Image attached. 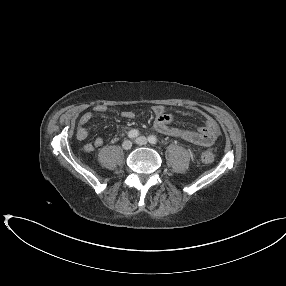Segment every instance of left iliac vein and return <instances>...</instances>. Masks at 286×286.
Instances as JSON below:
<instances>
[{"instance_id":"left-iliac-vein-1","label":"left iliac vein","mask_w":286,"mask_h":286,"mask_svg":"<svg viewBox=\"0 0 286 286\" xmlns=\"http://www.w3.org/2000/svg\"><path fill=\"white\" fill-rule=\"evenodd\" d=\"M135 142L139 145H146L148 143V139L145 136H139L136 138Z\"/></svg>"}]
</instances>
